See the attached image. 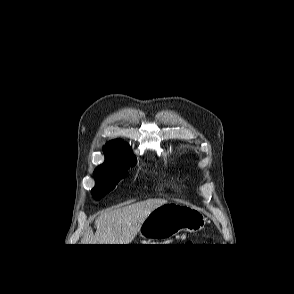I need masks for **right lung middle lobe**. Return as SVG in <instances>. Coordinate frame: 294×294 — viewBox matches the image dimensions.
Returning <instances> with one entry per match:
<instances>
[{"mask_svg": "<svg viewBox=\"0 0 294 294\" xmlns=\"http://www.w3.org/2000/svg\"><path fill=\"white\" fill-rule=\"evenodd\" d=\"M135 165L134 161H105L94 171L96 185L92 193L101 198L116 187V184L126 176L127 170Z\"/></svg>", "mask_w": 294, "mask_h": 294, "instance_id": "1", "label": "right lung middle lobe"}]
</instances>
